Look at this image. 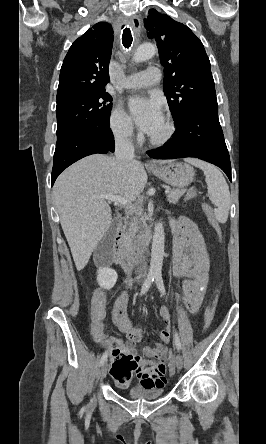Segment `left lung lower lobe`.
I'll return each mask as SVG.
<instances>
[{
	"mask_svg": "<svg viewBox=\"0 0 266 444\" xmlns=\"http://www.w3.org/2000/svg\"><path fill=\"white\" fill-rule=\"evenodd\" d=\"M175 124L174 138L149 156L154 159L199 158L220 167L231 181L230 157L218 119V105L196 107Z\"/></svg>",
	"mask_w": 266,
	"mask_h": 444,
	"instance_id": "left-lung-lower-lobe-1",
	"label": "left lung lower lobe"
}]
</instances>
